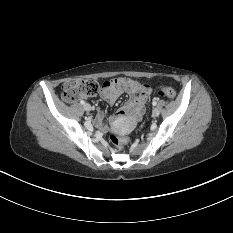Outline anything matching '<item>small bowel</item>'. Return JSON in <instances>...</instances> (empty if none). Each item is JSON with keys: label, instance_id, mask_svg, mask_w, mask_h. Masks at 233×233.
Instances as JSON below:
<instances>
[{"label": "small bowel", "instance_id": "c3829d8e", "mask_svg": "<svg viewBox=\"0 0 233 233\" xmlns=\"http://www.w3.org/2000/svg\"><path fill=\"white\" fill-rule=\"evenodd\" d=\"M123 92L129 94V99L118 111V117H127L132 121L139 120L145 111V105L151 93V87L128 77H116L104 82L101 97L110 105H113ZM106 114L104 111L97 113L95 123L102 130H106L103 121Z\"/></svg>", "mask_w": 233, "mask_h": 233}]
</instances>
